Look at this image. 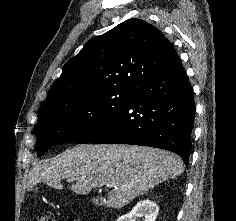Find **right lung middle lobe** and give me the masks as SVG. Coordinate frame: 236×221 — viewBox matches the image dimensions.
<instances>
[{"label":"right lung middle lobe","mask_w":236,"mask_h":221,"mask_svg":"<svg viewBox=\"0 0 236 221\" xmlns=\"http://www.w3.org/2000/svg\"><path fill=\"white\" fill-rule=\"evenodd\" d=\"M131 95L130 89L106 91L41 108L34 130L38 156L54 144L81 139L121 108Z\"/></svg>","instance_id":"obj_1"}]
</instances>
